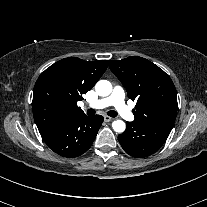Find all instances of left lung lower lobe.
<instances>
[{
    "label": "left lung lower lobe",
    "instance_id": "left-lung-lower-lobe-1",
    "mask_svg": "<svg viewBox=\"0 0 207 207\" xmlns=\"http://www.w3.org/2000/svg\"><path fill=\"white\" fill-rule=\"evenodd\" d=\"M169 134L170 131L144 126L133 121L127 122L125 132L120 134L118 139L127 154L143 158L155 153Z\"/></svg>",
    "mask_w": 207,
    "mask_h": 207
}]
</instances>
